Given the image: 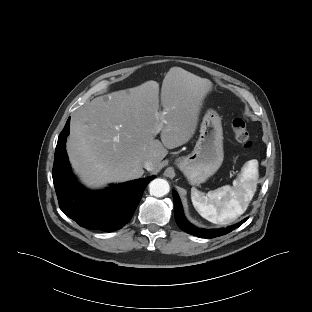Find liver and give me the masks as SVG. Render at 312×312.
<instances>
[{
    "mask_svg": "<svg viewBox=\"0 0 312 312\" xmlns=\"http://www.w3.org/2000/svg\"><path fill=\"white\" fill-rule=\"evenodd\" d=\"M212 88L210 80L173 67L162 83V112L156 81L94 98L71 118L67 152L74 171L86 186L102 188L140 178L145 160L156 169L167 149L193 137Z\"/></svg>",
    "mask_w": 312,
    "mask_h": 312,
    "instance_id": "obj_1",
    "label": "liver"
}]
</instances>
